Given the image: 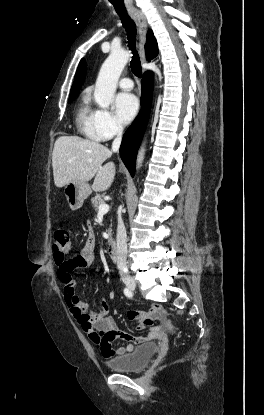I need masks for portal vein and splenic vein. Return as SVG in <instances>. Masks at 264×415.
<instances>
[{"mask_svg": "<svg viewBox=\"0 0 264 415\" xmlns=\"http://www.w3.org/2000/svg\"><path fill=\"white\" fill-rule=\"evenodd\" d=\"M109 211V205L108 204H101L98 208V214H106Z\"/></svg>", "mask_w": 264, "mask_h": 415, "instance_id": "obj_1", "label": "portal vein and splenic vein"}]
</instances>
